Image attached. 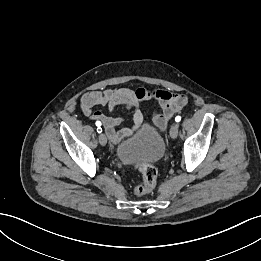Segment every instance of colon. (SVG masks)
Returning a JSON list of instances; mask_svg holds the SVG:
<instances>
[{
	"instance_id": "5ec220e1",
	"label": "colon",
	"mask_w": 261,
	"mask_h": 261,
	"mask_svg": "<svg viewBox=\"0 0 261 261\" xmlns=\"http://www.w3.org/2000/svg\"><path fill=\"white\" fill-rule=\"evenodd\" d=\"M136 170L142 177V183L134 188L136 196H143L154 190L157 184L158 171L153 164L145 163L136 165Z\"/></svg>"
}]
</instances>
